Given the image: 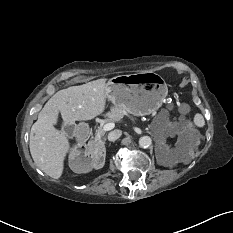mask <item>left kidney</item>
<instances>
[{
  "label": "left kidney",
  "mask_w": 233,
  "mask_h": 233,
  "mask_svg": "<svg viewBox=\"0 0 233 233\" xmlns=\"http://www.w3.org/2000/svg\"><path fill=\"white\" fill-rule=\"evenodd\" d=\"M178 150H181V148H179ZM166 152H167V155H169L171 157V159H173V161H175V162L180 161L182 158L181 155L179 154V151L173 152L169 149L168 146H166Z\"/></svg>",
  "instance_id": "1"
}]
</instances>
